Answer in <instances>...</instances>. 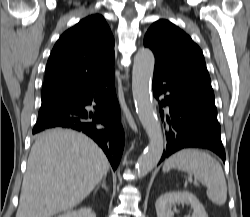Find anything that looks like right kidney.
<instances>
[{
    "mask_svg": "<svg viewBox=\"0 0 250 217\" xmlns=\"http://www.w3.org/2000/svg\"><path fill=\"white\" fill-rule=\"evenodd\" d=\"M58 217H96V214L92 211L91 208H81L79 210L67 211Z\"/></svg>",
    "mask_w": 250,
    "mask_h": 217,
    "instance_id": "right-kidney-1",
    "label": "right kidney"
}]
</instances>
